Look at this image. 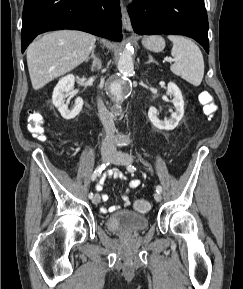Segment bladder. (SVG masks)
Listing matches in <instances>:
<instances>
[{"instance_id":"obj_1","label":"bladder","mask_w":243,"mask_h":289,"mask_svg":"<svg viewBox=\"0 0 243 289\" xmlns=\"http://www.w3.org/2000/svg\"><path fill=\"white\" fill-rule=\"evenodd\" d=\"M108 230L117 233H136L147 229L148 218L140 213L123 210L110 214L105 221Z\"/></svg>"}]
</instances>
